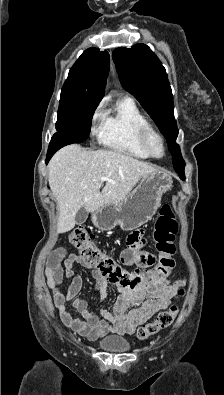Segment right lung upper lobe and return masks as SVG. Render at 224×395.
<instances>
[{
	"instance_id": "right-lung-upper-lobe-1",
	"label": "right lung upper lobe",
	"mask_w": 224,
	"mask_h": 395,
	"mask_svg": "<svg viewBox=\"0 0 224 395\" xmlns=\"http://www.w3.org/2000/svg\"><path fill=\"white\" fill-rule=\"evenodd\" d=\"M110 58L106 51L89 48L69 71L63 89L102 98L109 72Z\"/></svg>"
}]
</instances>
